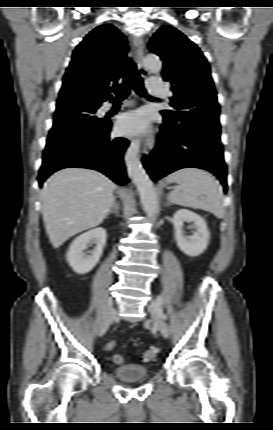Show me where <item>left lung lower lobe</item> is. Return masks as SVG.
<instances>
[{
  "mask_svg": "<svg viewBox=\"0 0 273 430\" xmlns=\"http://www.w3.org/2000/svg\"><path fill=\"white\" fill-rule=\"evenodd\" d=\"M164 121L158 147L143 159L144 167L156 181L186 167L202 168L216 175L227 191V169L215 115L201 114L191 122L178 124L162 113Z\"/></svg>",
  "mask_w": 273,
  "mask_h": 430,
  "instance_id": "1",
  "label": "left lung lower lobe"
}]
</instances>
